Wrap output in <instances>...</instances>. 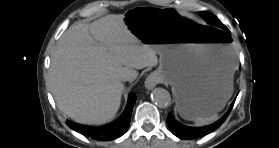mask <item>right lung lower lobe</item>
<instances>
[{
    "label": "right lung lower lobe",
    "mask_w": 279,
    "mask_h": 148,
    "mask_svg": "<svg viewBox=\"0 0 279 148\" xmlns=\"http://www.w3.org/2000/svg\"><path fill=\"white\" fill-rule=\"evenodd\" d=\"M135 101H136V96L134 93H131L129 95L128 104L122 116L108 126L95 128V127L79 125L71 121H67L66 124L71 129L83 135H86L88 137H91L95 140L108 141V140L116 139L122 136L127 131Z\"/></svg>",
    "instance_id": "right-lung-lower-lobe-1"
}]
</instances>
